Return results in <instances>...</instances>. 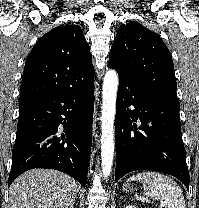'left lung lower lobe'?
I'll return each mask as SVG.
<instances>
[{
    "label": "left lung lower lobe",
    "mask_w": 199,
    "mask_h": 208,
    "mask_svg": "<svg viewBox=\"0 0 199 208\" xmlns=\"http://www.w3.org/2000/svg\"><path fill=\"white\" fill-rule=\"evenodd\" d=\"M118 75L115 182L134 170H154L177 177L189 188L178 99Z\"/></svg>",
    "instance_id": "1"
}]
</instances>
